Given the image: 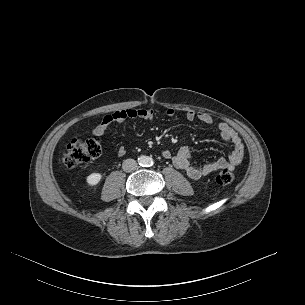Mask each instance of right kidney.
I'll return each instance as SVG.
<instances>
[{
  "mask_svg": "<svg viewBox=\"0 0 305 305\" xmlns=\"http://www.w3.org/2000/svg\"><path fill=\"white\" fill-rule=\"evenodd\" d=\"M102 178V175L100 173H91L89 176H87L86 181L88 185L95 186L97 185Z\"/></svg>",
  "mask_w": 305,
  "mask_h": 305,
  "instance_id": "ca27d5eb",
  "label": "right kidney"
}]
</instances>
